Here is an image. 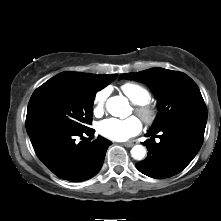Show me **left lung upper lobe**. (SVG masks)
<instances>
[{"instance_id": "left-lung-upper-lobe-1", "label": "left lung upper lobe", "mask_w": 221, "mask_h": 221, "mask_svg": "<svg viewBox=\"0 0 221 221\" xmlns=\"http://www.w3.org/2000/svg\"><path fill=\"white\" fill-rule=\"evenodd\" d=\"M146 83L155 93L159 113L150 129L155 131L172 121L189 115H207L206 105L195 82L182 72L151 68L122 74L120 79Z\"/></svg>"}]
</instances>
